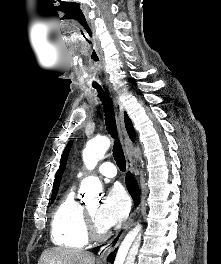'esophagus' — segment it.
Here are the masks:
<instances>
[{
  "label": "esophagus",
  "mask_w": 221,
  "mask_h": 264,
  "mask_svg": "<svg viewBox=\"0 0 221 264\" xmlns=\"http://www.w3.org/2000/svg\"><path fill=\"white\" fill-rule=\"evenodd\" d=\"M108 91L110 93V96L112 98L114 108H115L116 124H117L118 132L121 138L124 154H125L126 166H127L128 171L132 172L133 171V161L131 157L132 146H131L129 136L125 128L124 108H123V105L117 93L110 86L108 87ZM135 213H136V210L133 208L128 220L123 224V226L119 229L116 235L106 245L100 248L98 252L99 261H105L107 256L118 246L127 228L133 222Z\"/></svg>",
  "instance_id": "34e87169"
}]
</instances>
